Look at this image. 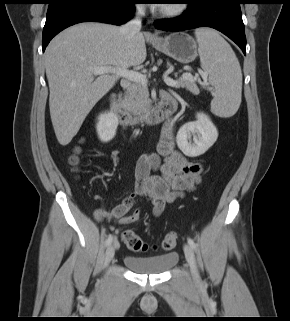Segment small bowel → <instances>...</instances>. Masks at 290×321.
Masks as SVG:
<instances>
[{"mask_svg": "<svg viewBox=\"0 0 290 321\" xmlns=\"http://www.w3.org/2000/svg\"><path fill=\"white\" fill-rule=\"evenodd\" d=\"M168 94L162 92V96ZM156 172L157 174H151ZM203 166L191 161L175 148V124L169 120L162 128L155 152L141 155L135 166V186L132 193L110 210L98 208L94 217L126 220L136 197H143L152 204L154 216H159L165 205L193 190L201 180Z\"/></svg>", "mask_w": 290, "mask_h": 321, "instance_id": "c3829d8e", "label": "small bowel"}]
</instances>
